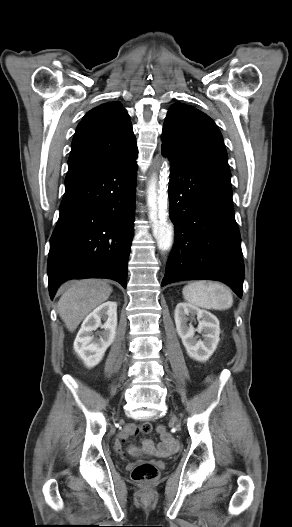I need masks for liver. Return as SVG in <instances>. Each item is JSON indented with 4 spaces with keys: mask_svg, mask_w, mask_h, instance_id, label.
Listing matches in <instances>:
<instances>
[{
    "mask_svg": "<svg viewBox=\"0 0 292 527\" xmlns=\"http://www.w3.org/2000/svg\"><path fill=\"white\" fill-rule=\"evenodd\" d=\"M60 291L58 313L67 329L73 332L92 310L109 298L112 287L103 280L84 279L67 283Z\"/></svg>",
    "mask_w": 292,
    "mask_h": 527,
    "instance_id": "obj_1",
    "label": "liver"
}]
</instances>
